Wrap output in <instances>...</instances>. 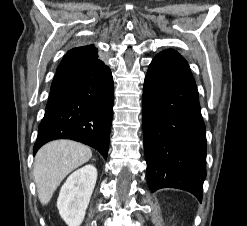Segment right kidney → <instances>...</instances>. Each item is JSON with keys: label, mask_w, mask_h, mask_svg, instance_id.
Returning <instances> with one entry per match:
<instances>
[{"label": "right kidney", "mask_w": 247, "mask_h": 226, "mask_svg": "<svg viewBox=\"0 0 247 226\" xmlns=\"http://www.w3.org/2000/svg\"><path fill=\"white\" fill-rule=\"evenodd\" d=\"M97 180L93 165L73 172L62 186L57 199L60 216L68 226H80Z\"/></svg>", "instance_id": "1"}]
</instances>
